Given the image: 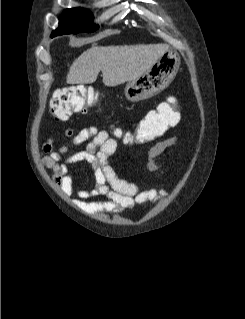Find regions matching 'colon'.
<instances>
[{"label":"colon","mask_w":245,"mask_h":319,"mask_svg":"<svg viewBox=\"0 0 245 319\" xmlns=\"http://www.w3.org/2000/svg\"><path fill=\"white\" fill-rule=\"evenodd\" d=\"M97 100L96 91L84 85H72L57 91L51 100L52 115L64 120L73 113L83 112ZM176 101L147 113L134 132L126 133L123 139L128 144H146L162 136L177 122Z\"/></svg>","instance_id":"1"}]
</instances>
